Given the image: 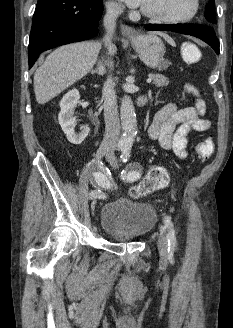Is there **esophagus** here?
Instances as JSON below:
<instances>
[{
	"label": "esophagus",
	"instance_id": "1",
	"mask_svg": "<svg viewBox=\"0 0 233 328\" xmlns=\"http://www.w3.org/2000/svg\"><path fill=\"white\" fill-rule=\"evenodd\" d=\"M121 33L125 38L128 39H135L138 37L137 31L134 28L125 24H121Z\"/></svg>",
	"mask_w": 233,
	"mask_h": 328
}]
</instances>
